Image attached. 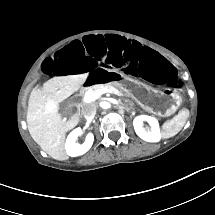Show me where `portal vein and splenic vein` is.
<instances>
[{
  "label": "portal vein and splenic vein",
  "instance_id": "obj_1",
  "mask_svg": "<svg viewBox=\"0 0 215 215\" xmlns=\"http://www.w3.org/2000/svg\"><path fill=\"white\" fill-rule=\"evenodd\" d=\"M110 89H99L95 92L90 93L89 95H85L84 99L86 102H91L92 99L97 100L99 98L100 95L106 93V92H110Z\"/></svg>",
  "mask_w": 215,
  "mask_h": 215
}]
</instances>
